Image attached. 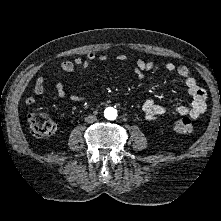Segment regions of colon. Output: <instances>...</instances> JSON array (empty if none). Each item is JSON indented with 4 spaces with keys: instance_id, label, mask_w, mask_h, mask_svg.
<instances>
[{
    "instance_id": "colon-1",
    "label": "colon",
    "mask_w": 221,
    "mask_h": 221,
    "mask_svg": "<svg viewBox=\"0 0 221 221\" xmlns=\"http://www.w3.org/2000/svg\"><path fill=\"white\" fill-rule=\"evenodd\" d=\"M30 130L37 137L49 136L55 132L56 124L46 114L33 112L28 115ZM174 129L181 134H188L192 130L189 118H181L174 123Z\"/></svg>"
}]
</instances>
